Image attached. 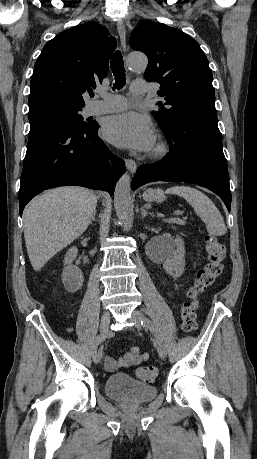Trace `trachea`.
Segmentation results:
<instances>
[{
	"label": "trachea",
	"mask_w": 257,
	"mask_h": 459,
	"mask_svg": "<svg viewBox=\"0 0 257 459\" xmlns=\"http://www.w3.org/2000/svg\"><path fill=\"white\" fill-rule=\"evenodd\" d=\"M111 69L115 77L114 88H117V89L123 88L126 82V77H125L123 57L119 50H117L114 53L111 59Z\"/></svg>",
	"instance_id": "3493384b"
}]
</instances>
